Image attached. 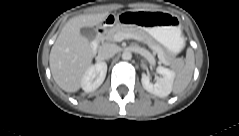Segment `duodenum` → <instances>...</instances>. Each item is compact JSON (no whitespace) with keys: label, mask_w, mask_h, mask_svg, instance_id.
I'll return each instance as SVG.
<instances>
[{"label":"duodenum","mask_w":239,"mask_h":136,"mask_svg":"<svg viewBox=\"0 0 239 136\" xmlns=\"http://www.w3.org/2000/svg\"><path fill=\"white\" fill-rule=\"evenodd\" d=\"M116 21H118V17L115 16V15H110V16L107 18V20H106V25L103 26V27H100V28L98 29V34H99V35H103V34L106 32V30L108 29V27H109L111 24L115 23ZM98 44H99V40H98V39H96L95 41L92 42V44H91V50H92L93 52H95V50L97 49Z\"/></svg>","instance_id":"1"}]
</instances>
